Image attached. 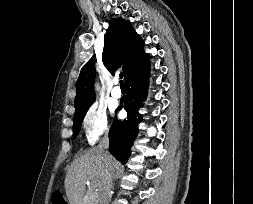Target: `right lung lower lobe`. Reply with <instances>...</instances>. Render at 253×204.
<instances>
[{"label":"right lung lower lobe","mask_w":253,"mask_h":204,"mask_svg":"<svg viewBox=\"0 0 253 204\" xmlns=\"http://www.w3.org/2000/svg\"><path fill=\"white\" fill-rule=\"evenodd\" d=\"M149 70V56L146 54L125 79L128 94L122 98V105L116 111L123 107L127 111V119L120 121L115 118L109 132L110 153L122 164L127 162L131 153L130 148L138 132V124L141 121L138 108L143 105V101L147 97Z\"/></svg>","instance_id":"98d812e1"}]
</instances>
